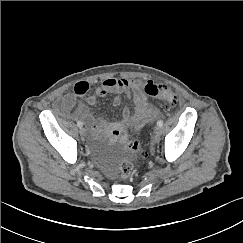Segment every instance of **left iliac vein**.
I'll list each match as a JSON object with an SVG mask.
<instances>
[{
    "label": "left iliac vein",
    "mask_w": 243,
    "mask_h": 243,
    "mask_svg": "<svg viewBox=\"0 0 243 243\" xmlns=\"http://www.w3.org/2000/svg\"><path fill=\"white\" fill-rule=\"evenodd\" d=\"M161 133H162V128L159 127V126H156V127L154 128V136H153V140H154V141H158V140H159V137H160V135H161Z\"/></svg>",
    "instance_id": "left-iliac-vein-1"
}]
</instances>
